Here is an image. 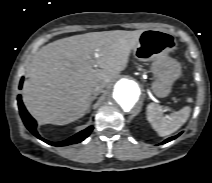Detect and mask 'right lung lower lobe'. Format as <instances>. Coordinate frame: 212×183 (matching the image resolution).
Here are the masks:
<instances>
[{
    "label": "right lung lower lobe",
    "mask_w": 212,
    "mask_h": 183,
    "mask_svg": "<svg viewBox=\"0 0 212 183\" xmlns=\"http://www.w3.org/2000/svg\"><path fill=\"white\" fill-rule=\"evenodd\" d=\"M22 83H23V79H21L20 81V85L19 88L21 89L22 87ZM18 105H19V110H20V115L22 117V120L25 124V126L28 128V130L37 138H39L40 140L53 145V146H66V145H70V144H75V143H79L81 141H83L85 138H87L89 136V134L92 132L93 127L90 126L88 128H86L85 130L77 133L76 135L70 137L69 139L65 140V141H61V142H51L48 140L43 139L37 132L36 129V121L30 116V114L27 112V110L25 109L22 100H21V95H18Z\"/></svg>",
    "instance_id": "1"
}]
</instances>
